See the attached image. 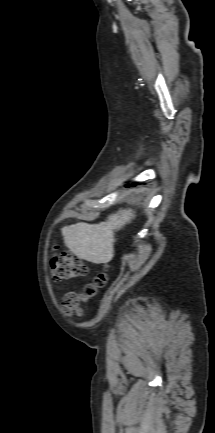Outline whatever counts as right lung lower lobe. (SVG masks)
I'll return each mask as SVG.
<instances>
[{
  "label": "right lung lower lobe",
  "instance_id": "98d812e1",
  "mask_svg": "<svg viewBox=\"0 0 215 433\" xmlns=\"http://www.w3.org/2000/svg\"><path fill=\"white\" fill-rule=\"evenodd\" d=\"M135 184H136V183H133V184H131V185H133V186H134Z\"/></svg>",
  "mask_w": 215,
  "mask_h": 433
}]
</instances>
